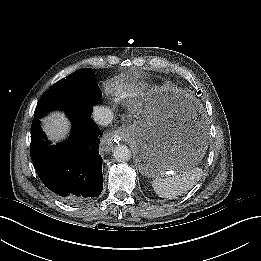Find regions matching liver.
Returning a JSON list of instances; mask_svg holds the SVG:
<instances>
[{"label":"liver","instance_id":"obj_1","mask_svg":"<svg viewBox=\"0 0 261 261\" xmlns=\"http://www.w3.org/2000/svg\"><path fill=\"white\" fill-rule=\"evenodd\" d=\"M142 102L133 103L132 113L140 114L142 112ZM44 131L48 138L54 142L64 139L69 131V121L63 113L55 112L42 119Z\"/></svg>","mask_w":261,"mask_h":261}]
</instances>
